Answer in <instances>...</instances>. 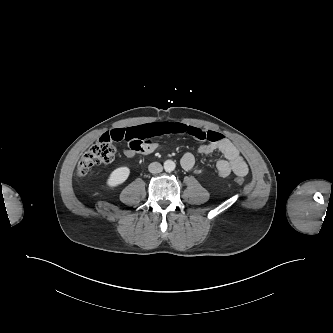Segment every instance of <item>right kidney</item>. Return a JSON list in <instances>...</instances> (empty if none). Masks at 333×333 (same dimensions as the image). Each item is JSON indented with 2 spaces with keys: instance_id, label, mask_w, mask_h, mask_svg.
Here are the masks:
<instances>
[{
  "instance_id": "obj_1",
  "label": "right kidney",
  "mask_w": 333,
  "mask_h": 333,
  "mask_svg": "<svg viewBox=\"0 0 333 333\" xmlns=\"http://www.w3.org/2000/svg\"><path fill=\"white\" fill-rule=\"evenodd\" d=\"M130 174V169L126 166L118 167L111 172L109 175L106 185L109 188H114L122 183H124Z\"/></svg>"
}]
</instances>
